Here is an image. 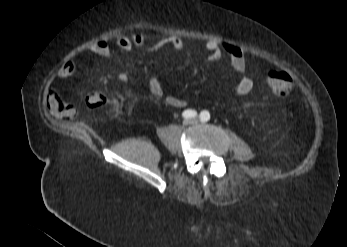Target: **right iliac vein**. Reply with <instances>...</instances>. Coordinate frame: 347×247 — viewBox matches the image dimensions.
Segmentation results:
<instances>
[{"instance_id":"obj_1","label":"right iliac vein","mask_w":347,"mask_h":247,"mask_svg":"<svg viewBox=\"0 0 347 247\" xmlns=\"http://www.w3.org/2000/svg\"><path fill=\"white\" fill-rule=\"evenodd\" d=\"M190 124H192V121H191V120H184V121H183V126H188V125H190Z\"/></svg>"}]
</instances>
